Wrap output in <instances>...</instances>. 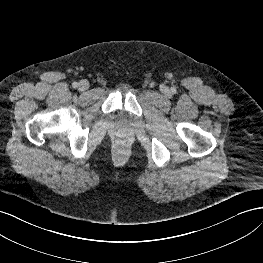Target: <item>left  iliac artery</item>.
Listing matches in <instances>:
<instances>
[{"mask_svg":"<svg viewBox=\"0 0 263 263\" xmlns=\"http://www.w3.org/2000/svg\"><path fill=\"white\" fill-rule=\"evenodd\" d=\"M171 91L174 93L176 90H175V88H172Z\"/></svg>","mask_w":263,"mask_h":263,"instance_id":"obj_1","label":"left iliac artery"}]
</instances>
